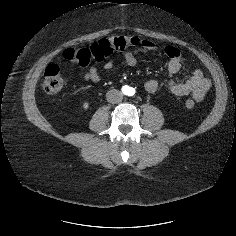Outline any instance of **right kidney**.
<instances>
[{"mask_svg":"<svg viewBox=\"0 0 236 236\" xmlns=\"http://www.w3.org/2000/svg\"><path fill=\"white\" fill-rule=\"evenodd\" d=\"M82 107L84 110H87L89 108V102H84Z\"/></svg>","mask_w":236,"mask_h":236,"instance_id":"obj_1","label":"right kidney"}]
</instances>
